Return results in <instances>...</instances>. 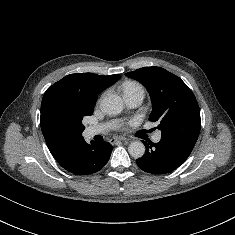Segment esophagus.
Instances as JSON below:
<instances>
[{"label":"esophagus","instance_id":"34e87169","mask_svg":"<svg viewBox=\"0 0 235 235\" xmlns=\"http://www.w3.org/2000/svg\"><path fill=\"white\" fill-rule=\"evenodd\" d=\"M121 141H127V139L125 137H113L110 139L111 144H117L118 142Z\"/></svg>","mask_w":235,"mask_h":235}]
</instances>
